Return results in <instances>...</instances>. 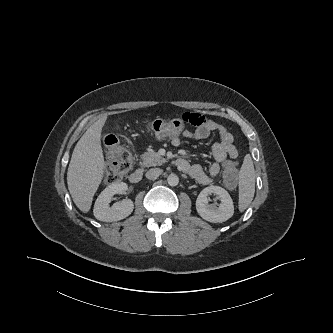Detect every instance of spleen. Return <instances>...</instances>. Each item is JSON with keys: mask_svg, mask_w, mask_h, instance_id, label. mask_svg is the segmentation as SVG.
Returning a JSON list of instances; mask_svg holds the SVG:
<instances>
[{"mask_svg": "<svg viewBox=\"0 0 333 333\" xmlns=\"http://www.w3.org/2000/svg\"><path fill=\"white\" fill-rule=\"evenodd\" d=\"M255 193V172L249 155L244 158L239 173V210L243 212L252 202Z\"/></svg>", "mask_w": 333, "mask_h": 333, "instance_id": "obj_1", "label": "spleen"}]
</instances>
